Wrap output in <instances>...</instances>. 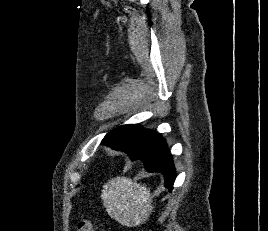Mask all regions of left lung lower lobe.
Segmentation results:
<instances>
[{
	"label": "left lung lower lobe",
	"instance_id": "0a47b994",
	"mask_svg": "<svg viewBox=\"0 0 268 231\" xmlns=\"http://www.w3.org/2000/svg\"><path fill=\"white\" fill-rule=\"evenodd\" d=\"M123 152H126L131 160L143 161L147 171L162 173L165 178V187L172 190L175 168L167 144L160 134L156 133L150 141L140 147L130 146Z\"/></svg>",
	"mask_w": 268,
	"mask_h": 231
}]
</instances>
